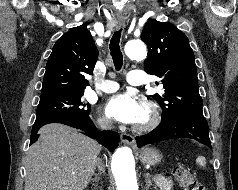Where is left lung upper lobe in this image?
Listing matches in <instances>:
<instances>
[{"mask_svg":"<svg viewBox=\"0 0 238 190\" xmlns=\"http://www.w3.org/2000/svg\"><path fill=\"white\" fill-rule=\"evenodd\" d=\"M141 39L149 51L145 72L162 78L164 92L152 95L163 110L162 119L180 110L202 109L195 57L186 35L171 23L148 20Z\"/></svg>","mask_w":238,"mask_h":190,"instance_id":"left-lung-upper-lobe-1","label":"left lung upper lobe"}]
</instances>
